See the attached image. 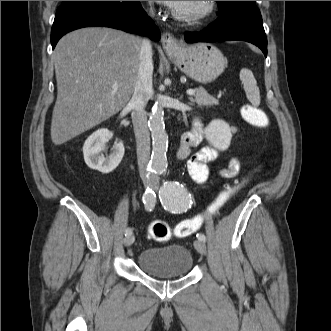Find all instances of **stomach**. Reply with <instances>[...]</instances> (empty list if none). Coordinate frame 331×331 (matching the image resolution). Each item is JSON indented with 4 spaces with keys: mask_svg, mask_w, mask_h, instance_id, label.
I'll return each mask as SVG.
<instances>
[{
    "mask_svg": "<svg viewBox=\"0 0 331 331\" xmlns=\"http://www.w3.org/2000/svg\"><path fill=\"white\" fill-rule=\"evenodd\" d=\"M169 57L187 76L203 84L215 80L226 67L222 52L210 43L182 45Z\"/></svg>",
    "mask_w": 331,
    "mask_h": 331,
    "instance_id": "stomach-1",
    "label": "stomach"
}]
</instances>
